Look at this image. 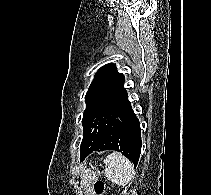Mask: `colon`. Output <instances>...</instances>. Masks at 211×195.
<instances>
[{
	"label": "colon",
	"instance_id": "colon-1",
	"mask_svg": "<svg viewBox=\"0 0 211 195\" xmlns=\"http://www.w3.org/2000/svg\"><path fill=\"white\" fill-rule=\"evenodd\" d=\"M93 190L97 195H102L105 191L104 182L97 180L93 183Z\"/></svg>",
	"mask_w": 211,
	"mask_h": 195
}]
</instances>
